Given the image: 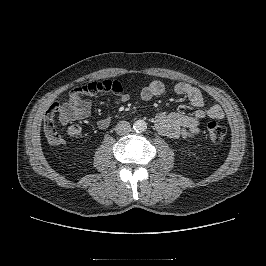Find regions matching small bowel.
Here are the masks:
<instances>
[{
  "label": "small bowel",
  "instance_id": "small-bowel-1",
  "mask_svg": "<svg viewBox=\"0 0 266 266\" xmlns=\"http://www.w3.org/2000/svg\"><path fill=\"white\" fill-rule=\"evenodd\" d=\"M173 90L176 95L187 98L194 108V112L192 114L180 112L159 113L155 117L154 124L160 134L171 139L190 138L199 132L201 122L206 117L217 120L224 117V112L220 106H205L202 93L195 86L186 82H179L175 84ZM164 92L165 85L161 81L154 80L142 89L141 98L144 101H149L154 97L162 95ZM129 98L126 92H121L115 101V105L125 103ZM51 110L58 117L61 125L66 128L68 136L79 137L82 134L81 127L71 123L86 119L90 115L91 104L81 96H69L66 102L53 105ZM113 115L112 112L106 117L99 119L96 122V126L100 129L108 127L113 119ZM44 129L50 144L59 145L64 141L63 136L55 129L51 131H48L46 127Z\"/></svg>",
  "mask_w": 266,
  "mask_h": 266
}]
</instances>
